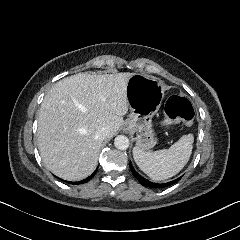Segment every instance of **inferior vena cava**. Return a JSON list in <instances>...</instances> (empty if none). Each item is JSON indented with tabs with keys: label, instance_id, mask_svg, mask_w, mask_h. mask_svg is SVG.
<instances>
[{
	"label": "inferior vena cava",
	"instance_id": "inferior-vena-cava-1",
	"mask_svg": "<svg viewBox=\"0 0 240 240\" xmlns=\"http://www.w3.org/2000/svg\"><path fill=\"white\" fill-rule=\"evenodd\" d=\"M96 137L100 140H104L108 136V130L106 128H100L96 130Z\"/></svg>",
	"mask_w": 240,
	"mask_h": 240
}]
</instances>
